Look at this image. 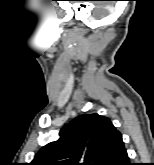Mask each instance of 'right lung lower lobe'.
<instances>
[{
  "label": "right lung lower lobe",
  "instance_id": "98d812e1",
  "mask_svg": "<svg viewBox=\"0 0 154 165\" xmlns=\"http://www.w3.org/2000/svg\"><path fill=\"white\" fill-rule=\"evenodd\" d=\"M98 165H131L123 145L121 134L108 147V151Z\"/></svg>",
  "mask_w": 154,
  "mask_h": 165
}]
</instances>
